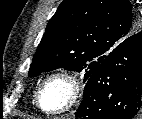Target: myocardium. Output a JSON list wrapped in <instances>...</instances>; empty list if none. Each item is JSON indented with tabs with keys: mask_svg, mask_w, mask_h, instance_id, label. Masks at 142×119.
I'll use <instances>...</instances> for the list:
<instances>
[{
	"mask_svg": "<svg viewBox=\"0 0 142 119\" xmlns=\"http://www.w3.org/2000/svg\"><path fill=\"white\" fill-rule=\"evenodd\" d=\"M63 81L69 88V96L65 104L56 109H48L42 104L43 92L46 87L53 81ZM82 94V82L80 78L69 71H58L48 75L38 88L36 93V104L38 108L48 115H61L73 109L80 100Z\"/></svg>",
	"mask_w": 142,
	"mask_h": 119,
	"instance_id": "myocardium-1",
	"label": "myocardium"
}]
</instances>
